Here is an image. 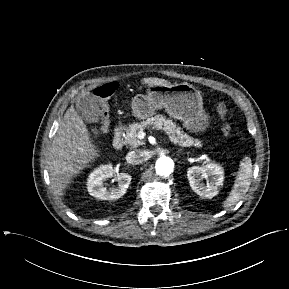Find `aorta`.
Masks as SVG:
<instances>
[{
    "mask_svg": "<svg viewBox=\"0 0 289 289\" xmlns=\"http://www.w3.org/2000/svg\"><path fill=\"white\" fill-rule=\"evenodd\" d=\"M155 170L160 176H169L174 170V162L170 157L161 156L156 161Z\"/></svg>",
    "mask_w": 289,
    "mask_h": 289,
    "instance_id": "1",
    "label": "aorta"
}]
</instances>
